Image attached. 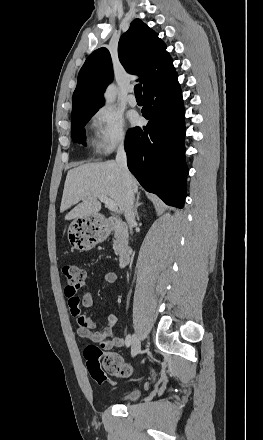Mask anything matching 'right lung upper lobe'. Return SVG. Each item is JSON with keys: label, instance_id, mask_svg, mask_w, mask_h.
<instances>
[{"label": "right lung upper lobe", "instance_id": "cb5924a9", "mask_svg": "<svg viewBox=\"0 0 263 440\" xmlns=\"http://www.w3.org/2000/svg\"><path fill=\"white\" fill-rule=\"evenodd\" d=\"M118 56L129 73L140 76L143 91L175 71L166 45L140 19H135L120 38ZM112 80L110 53L106 48H99L89 55L78 74L72 101V117L97 111L104 102L103 91Z\"/></svg>", "mask_w": 263, "mask_h": 440}]
</instances>
